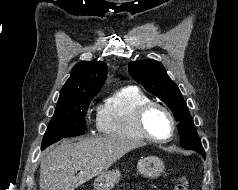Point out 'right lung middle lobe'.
I'll return each instance as SVG.
<instances>
[{
  "mask_svg": "<svg viewBox=\"0 0 238 190\" xmlns=\"http://www.w3.org/2000/svg\"><path fill=\"white\" fill-rule=\"evenodd\" d=\"M96 94H81L73 99L58 102L54 115L42 141V149L67 136L86 131L85 115L91 99Z\"/></svg>",
  "mask_w": 238,
  "mask_h": 190,
  "instance_id": "right-lung-middle-lobe-1",
  "label": "right lung middle lobe"
}]
</instances>
